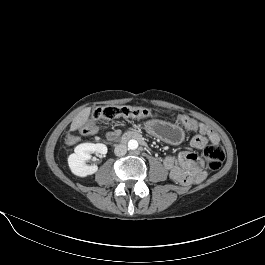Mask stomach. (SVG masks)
Instances as JSON below:
<instances>
[{"instance_id":"stomach-1","label":"stomach","mask_w":265,"mask_h":265,"mask_svg":"<svg viewBox=\"0 0 265 265\" xmlns=\"http://www.w3.org/2000/svg\"><path fill=\"white\" fill-rule=\"evenodd\" d=\"M145 129L151 136L171 145H179L185 137L181 127L162 120L146 122Z\"/></svg>"}]
</instances>
